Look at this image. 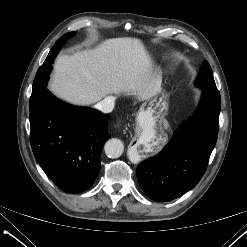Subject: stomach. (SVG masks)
Here are the masks:
<instances>
[{
	"label": "stomach",
	"mask_w": 247,
	"mask_h": 247,
	"mask_svg": "<svg viewBox=\"0 0 247 247\" xmlns=\"http://www.w3.org/2000/svg\"><path fill=\"white\" fill-rule=\"evenodd\" d=\"M168 98L169 95L163 90L148 99L138 112L137 125L143 127L163 123L168 112Z\"/></svg>",
	"instance_id": "1"
}]
</instances>
